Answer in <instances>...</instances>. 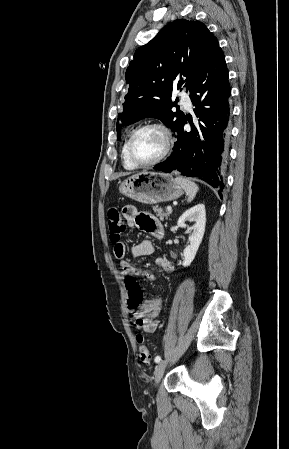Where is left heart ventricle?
Wrapping results in <instances>:
<instances>
[{
    "label": "left heart ventricle",
    "mask_w": 289,
    "mask_h": 449,
    "mask_svg": "<svg viewBox=\"0 0 289 449\" xmlns=\"http://www.w3.org/2000/svg\"><path fill=\"white\" fill-rule=\"evenodd\" d=\"M163 149V137L157 130L141 131L133 143V154L139 162H149L160 155Z\"/></svg>",
    "instance_id": "b2bd125f"
}]
</instances>
